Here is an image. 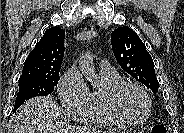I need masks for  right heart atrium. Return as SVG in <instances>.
Masks as SVG:
<instances>
[{
    "label": "right heart atrium",
    "instance_id": "1",
    "mask_svg": "<svg viewBox=\"0 0 184 133\" xmlns=\"http://www.w3.org/2000/svg\"><path fill=\"white\" fill-rule=\"evenodd\" d=\"M60 102L66 114L75 121L86 122L92 108L91 91L76 68L68 69L57 86Z\"/></svg>",
    "mask_w": 184,
    "mask_h": 133
}]
</instances>
